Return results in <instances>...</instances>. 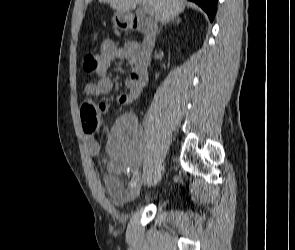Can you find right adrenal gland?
I'll return each mask as SVG.
<instances>
[{
    "instance_id": "obj_1",
    "label": "right adrenal gland",
    "mask_w": 295,
    "mask_h": 250,
    "mask_svg": "<svg viewBox=\"0 0 295 250\" xmlns=\"http://www.w3.org/2000/svg\"><path fill=\"white\" fill-rule=\"evenodd\" d=\"M170 22H174V23L178 24L180 22V18L178 16H175V17H172V18L168 19L167 21L162 23L160 29L162 28L163 25H166L167 23H170Z\"/></svg>"
}]
</instances>
